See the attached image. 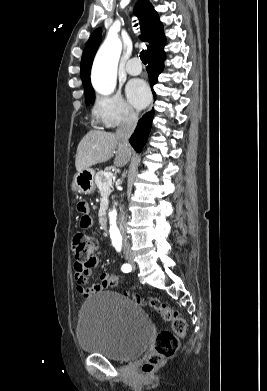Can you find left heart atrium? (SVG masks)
<instances>
[{
	"label": "left heart atrium",
	"instance_id": "39dd6f15",
	"mask_svg": "<svg viewBox=\"0 0 267 391\" xmlns=\"http://www.w3.org/2000/svg\"><path fill=\"white\" fill-rule=\"evenodd\" d=\"M126 95L136 108H143L150 99L148 86L141 79L131 80L127 84Z\"/></svg>",
	"mask_w": 267,
	"mask_h": 391
}]
</instances>
